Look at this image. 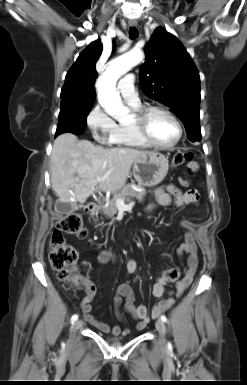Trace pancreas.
Returning <instances> with one entry per match:
<instances>
[{"instance_id": "1", "label": "pancreas", "mask_w": 247, "mask_h": 385, "mask_svg": "<svg viewBox=\"0 0 247 385\" xmlns=\"http://www.w3.org/2000/svg\"><path fill=\"white\" fill-rule=\"evenodd\" d=\"M139 188L142 187L139 186ZM145 194V190H135L131 185H126L119 192L114 193V196L111 200H105L106 203L103 207V214L109 218L114 217L118 211L116 204L117 199H122L129 203L131 198H136L139 202H142Z\"/></svg>"}]
</instances>
